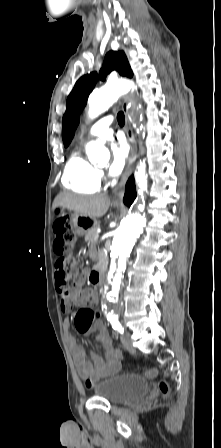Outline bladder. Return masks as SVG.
Listing matches in <instances>:
<instances>
[{
	"mask_svg": "<svg viewBox=\"0 0 221 448\" xmlns=\"http://www.w3.org/2000/svg\"><path fill=\"white\" fill-rule=\"evenodd\" d=\"M149 390V382L138 373L116 372L100 380L94 386L96 397L113 405H119L144 397Z\"/></svg>",
	"mask_w": 221,
	"mask_h": 448,
	"instance_id": "bladder-1",
	"label": "bladder"
}]
</instances>
